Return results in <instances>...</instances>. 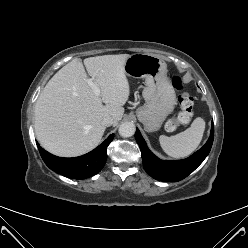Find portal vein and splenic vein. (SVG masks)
Instances as JSON below:
<instances>
[{"label": "portal vein and splenic vein", "mask_w": 248, "mask_h": 248, "mask_svg": "<svg viewBox=\"0 0 248 248\" xmlns=\"http://www.w3.org/2000/svg\"><path fill=\"white\" fill-rule=\"evenodd\" d=\"M86 81H87V84L93 90L94 94L97 95V96H99L101 91H100L99 87L93 82V79L92 78H88Z\"/></svg>", "instance_id": "1"}]
</instances>
